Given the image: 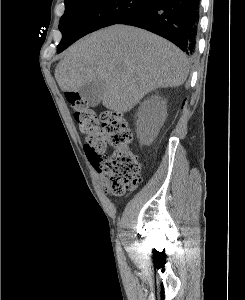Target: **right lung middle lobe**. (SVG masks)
Here are the masks:
<instances>
[{
	"instance_id": "dd1d6c3e",
	"label": "right lung middle lobe",
	"mask_w": 245,
	"mask_h": 300,
	"mask_svg": "<svg viewBox=\"0 0 245 300\" xmlns=\"http://www.w3.org/2000/svg\"><path fill=\"white\" fill-rule=\"evenodd\" d=\"M151 0H65V12L60 19L62 40L60 53L84 35L116 24Z\"/></svg>"
}]
</instances>
